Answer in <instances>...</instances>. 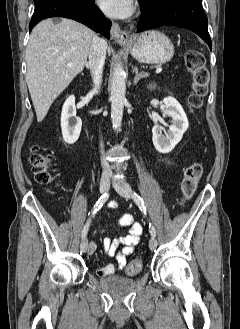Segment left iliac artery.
Here are the masks:
<instances>
[{"label": "left iliac artery", "instance_id": "44dca946", "mask_svg": "<svg viewBox=\"0 0 240 329\" xmlns=\"http://www.w3.org/2000/svg\"><path fill=\"white\" fill-rule=\"evenodd\" d=\"M133 198H134L135 203L140 208V210L144 214H146V207H145V204H144L143 199L137 193H135V192L133 193ZM149 229H150L151 236L152 237H155L156 236V230H155L154 226L151 223H149Z\"/></svg>", "mask_w": 240, "mask_h": 329}]
</instances>
